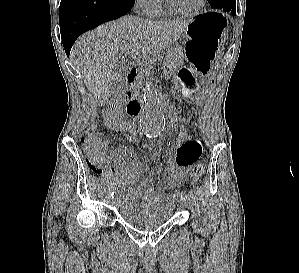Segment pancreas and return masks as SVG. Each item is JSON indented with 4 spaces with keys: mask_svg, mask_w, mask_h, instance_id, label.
Returning a JSON list of instances; mask_svg holds the SVG:
<instances>
[{
    "mask_svg": "<svg viewBox=\"0 0 299 273\" xmlns=\"http://www.w3.org/2000/svg\"><path fill=\"white\" fill-rule=\"evenodd\" d=\"M183 50L178 47L167 55L166 61L163 63V72L165 75L173 74L178 68L183 65ZM146 75L150 74V69L145 71Z\"/></svg>",
    "mask_w": 299,
    "mask_h": 273,
    "instance_id": "obj_1",
    "label": "pancreas"
}]
</instances>
